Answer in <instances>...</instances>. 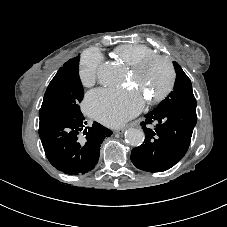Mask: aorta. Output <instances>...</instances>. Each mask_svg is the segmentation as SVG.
<instances>
[{
  "mask_svg": "<svg viewBox=\"0 0 227 227\" xmlns=\"http://www.w3.org/2000/svg\"><path fill=\"white\" fill-rule=\"evenodd\" d=\"M98 78L104 85H115L121 80V69L117 63L105 62L99 67ZM126 140L133 146H140L145 139L143 130L129 128L125 132Z\"/></svg>",
  "mask_w": 227,
  "mask_h": 227,
  "instance_id": "1",
  "label": "aorta"
}]
</instances>
